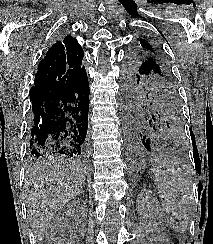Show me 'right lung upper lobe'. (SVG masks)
Returning <instances> with one entry per match:
<instances>
[{"instance_id":"right-lung-upper-lobe-1","label":"right lung upper lobe","mask_w":213,"mask_h":244,"mask_svg":"<svg viewBox=\"0 0 213 244\" xmlns=\"http://www.w3.org/2000/svg\"><path fill=\"white\" fill-rule=\"evenodd\" d=\"M83 54L74 37H59L38 65L30 99L36 94L60 91L74 84L85 73Z\"/></svg>"}]
</instances>
